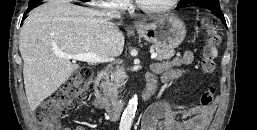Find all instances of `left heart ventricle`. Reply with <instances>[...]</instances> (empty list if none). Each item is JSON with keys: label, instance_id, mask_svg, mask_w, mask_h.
I'll list each match as a JSON object with an SVG mask.
<instances>
[{"label": "left heart ventricle", "instance_id": "b2bd125f", "mask_svg": "<svg viewBox=\"0 0 257 130\" xmlns=\"http://www.w3.org/2000/svg\"><path fill=\"white\" fill-rule=\"evenodd\" d=\"M140 1L141 3H143L148 7H159L169 2V0H140Z\"/></svg>", "mask_w": 257, "mask_h": 130}]
</instances>
